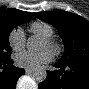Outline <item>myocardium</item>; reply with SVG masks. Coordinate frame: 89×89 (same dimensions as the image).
<instances>
[{
  "label": "myocardium",
  "mask_w": 89,
  "mask_h": 89,
  "mask_svg": "<svg viewBox=\"0 0 89 89\" xmlns=\"http://www.w3.org/2000/svg\"><path fill=\"white\" fill-rule=\"evenodd\" d=\"M45 42L47 43L49 49L55 54V55H60L63 51V46L61 43L58 41H55L50 38H46Z\"/></svg>",
  "instance_id": "obj_1"
}]
</instances>
